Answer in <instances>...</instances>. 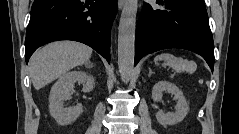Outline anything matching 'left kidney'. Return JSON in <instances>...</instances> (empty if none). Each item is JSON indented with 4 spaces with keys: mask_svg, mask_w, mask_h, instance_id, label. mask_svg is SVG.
I'll list each match as a JSON object with an SVG mask.
<instances>
[{
    "mask_svg": "<svg viewBox=\"0 0 239 134\" xmlns=\"http://www.w3.org/2000/svg\"><path fill=\"white\" fill-rule=\"evenodd\" d=\"M163 92H168L174 95V98L177 100L175 112L165 114L162 111H158L156 113V119L163 126L175 125L186 117L189 111V105L183 95V92L175 84L168 81H159L153 86V101L159 102L163 97Z\"/></svg>",
    "mask_w": 239,
    "mask_h": 134,
    "instance_id": "obj_1",
    "label": "left kidney"
}]
</instances>
